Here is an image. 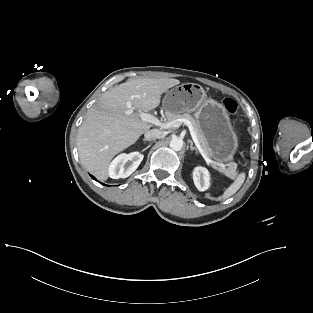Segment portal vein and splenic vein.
Instances as JSON below:
<instances>
[{"label":"portal vein and splenic vein","mask_w":313,"mask_h":313,"mask_svg":"<svg viewBox=\"0 0 313 313\" xmlns=\"http://www.w3.org/2000/svg\"><path fill=\"white\" fill-rule=\"evenodd\" d=\"M128 107H131V104L128 103ZM140 117L141 120L143 122H148L151 124H154L155 126L161 127L163 129H169V128H178L180 127L182 124H185L191 134V137L195 143V145L197 146L200 154L202 155V157L204 158V160L206 161V163L208 164H213L214 162L207 156V154L204 152V150L202 149L199 140L196 136V132L194 130V127L192 125V123L188 120V119H184V118H179V119H175V120H171V121H167V122H163L161 121L159 118H157L156 116L149 114V113H140Z\"/></svg>","instance_id":"1"}]
</instances>
